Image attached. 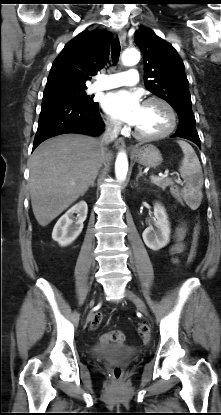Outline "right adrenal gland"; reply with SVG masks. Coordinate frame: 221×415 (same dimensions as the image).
Returning a JSON list of instances; mask_svg holds the SVG:
<instances>
[{
    "instance_id": "obj_1",
    "label": "right adrenal gland",
    "mask_w": 221,
    "mask_h": 415,
    "mask_svg": "<svg viewBox=\"0 0 221 415\" xmlns=\"http://www.w3.org/2000/svg\"><path fill=\"white\" fill-rule=\"evenodd\" d=\"M96 177H97V176H95V177L92 179V181H91V183H90V186H91V187H94V183H95Z\"/></svg>"
}]
</instances>
